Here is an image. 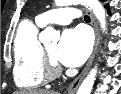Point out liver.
<instances>
[{
    "label": "liver",
    "mask_w": 121,
    "mask_h": 94,
    "mask_svg": "<svg viewBox=\"0 0 121 94\" xmlns=\"http://www.w3.org/2000/svg\"><path fill=\"white\" fill-rule=\"evenodd\" d=\"M14 94H59L57 91H49V90H24V91H19Z\"/></svg>",
    "instance_id": "6515ba94"
}]
</instances>
